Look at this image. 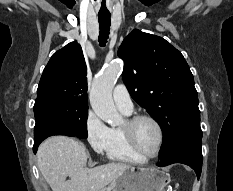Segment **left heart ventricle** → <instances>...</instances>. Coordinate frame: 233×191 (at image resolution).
Returning a JSON list of instances; mask_svg holds the SVG:
<instances>
[{"label":"left heart ventricle","instance_id":"left-heart-ventricle-1","mask_svg":"<svg viewBox=\"0 0 233 191\" xmlns=\"http://www.w3.org/2000/svg\"><path fill=\"white\" fill-rule=\"evenodd\" d=\"M135 137L140 150L146 155H153L158 146L159 136L155 125L148 121H140L135 128Z\"/></svg>","mask_w":233,"mask_h":191}]
</instances>
